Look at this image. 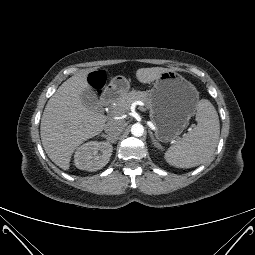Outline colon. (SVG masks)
Returning a JSON list of instances; mask_svg holds the SVG:
<instances>
[{"instance_id":"5ec220e1","label":"colon","mask_w":255,"mask_h":255,"mask_svg":"<svg viewBox=\"0 0 255 255\" xmlns=\"http://www.w3.org/2000/svg\"><path fill=\"white\" fill-rule=\"evenodd\" d=\"M89 81H90L93 85L99 87V86H101V84H102V82H103V79H102V77L100 76V74H99L98 72H93V73H91L90 76H89Z\"/></svg>"}]
</instances>
